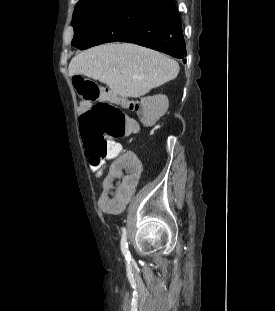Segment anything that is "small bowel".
<instances>
[{"instance_id":"small-bowel-1","label":"small bowel","mask_w":275,"mask_h":311,"mask_svg":"<svg viewBox=\"0 0 275 311\" xmlns=\"http://www.w3.org/2000/svg\"><path fill=\"white\" fill-rule=\"evenodd\" d=\"M89 106L90 102L81 101L79 103V112H84ZM137 155V150H121L117 160L112 161L111 172L105 178L104 183H101V190L103 191L97 208L98 213H104V216H119V213L124 212L126 202L134 194L138 180L141 177L140 168L143 162L137 160ZM88 167L96 178H101L105 161L90 157ZM118 171L124 172L119 173ZM121 180L123 181L121 182ZM116 185H119L117 189Z\"/></svg>"}]
</instances>
